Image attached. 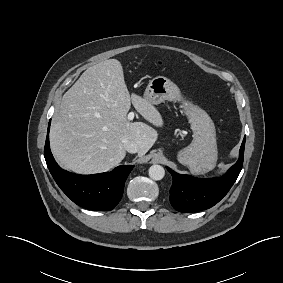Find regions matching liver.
<instances>
[{"label":"liver","instance_id":"6515ba94","mask_svg":"<svg viewBox=\"0 0 283 283\" xmlns=\"http://www.w3.org/2000/svg\"><path fill=\"white\" fill-rule=\"evenodd\" d=\"M131 102L156 127L160 112L144 97L129 94L120 61L109 59L89 67L63 95L50 130L51 151L66 169L79 174L108 171L126 156L125 139L138 144L145 155L158 138L143 122H130Z\"/></svg>","mask_w":283,"mask_h":283}]
</instances>
